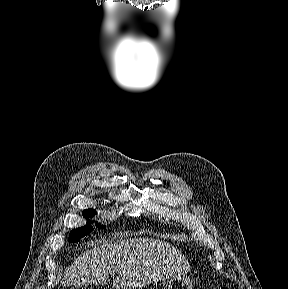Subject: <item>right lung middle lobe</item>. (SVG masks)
Instances as JSON below:
<instances>
[{"mask_svg":"<svg viewBox=\"0 0 288 289\" xmlns=\"http://www.w3.org/2000/svg\"><path fill=\"white\" fill-rule=\"evenodd\" d=\"M95 215V211L93 209H87L83 211V216L85 218H89ZM90 222H88L85 226L81 227V228H77V229H73L70 232V236H69V241L70 242H78L82 237H84L85 235L89 234L93 228L90 226L89 224ZM100 228H103L104 226L98 225Z\"/></svg>","mask_w":288,"mask_h":289,"instance_id":"1","label":"right lung middle lobe"}]
</instances>
